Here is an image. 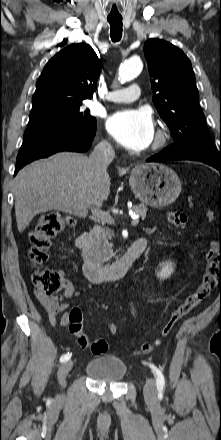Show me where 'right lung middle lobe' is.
Returning a JSON list of instances; mask_svg holds the SVG:
<instances>
[{
  "instance_id": "obj_1",
  "label": "right lung middle lobe",
  "mask_w": 221,
  "mask_h": 440,
  "mask_svg": "<svg viewBox=\"0 0 221 440\" xmlns=\"http://www.w3.org/2000/svg\"><path fill=\"white\" fill-rule=\"evenodd\" d=\"M82 103H51L33 108L30 113L28 128L41 125H55L69 129L92 130L96 128V118L88 111L80 110Z\"/></svg>"
}]
</instances>
